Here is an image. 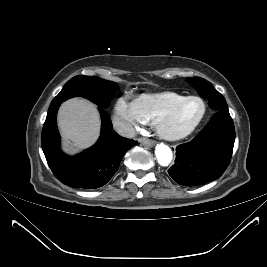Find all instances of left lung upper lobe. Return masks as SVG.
I'll use <instances>...</instances> for the list:
<instances>
[{
	"label": "left lung upper lobe",
	"mask_w": 267,
	"mask_h": 267,
	"mask_svg": "<svg viewBox=\"0 0 267 267\" xmlns=\"http://www.w3.org/2000/svg\"><path fill=\"white\" fill-rule=\"evenodd\" d=\"M186 80L195 87L203 98L208 100V104L211 108L216 110H228L224 97L214 89L210 82L199 77H190Z\"/></svg>",
	"instance_id": "obj_1"
}]
</instances>
